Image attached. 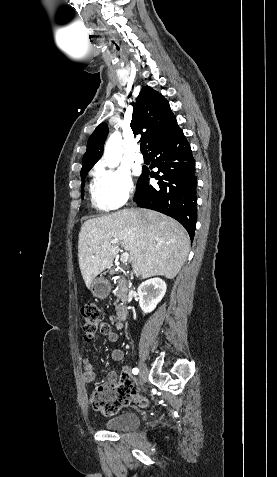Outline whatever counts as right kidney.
I'll list each match as a JSON object with an SVG mask.
<instances>
[{
  "instance_id": "right-kidney-1",
  "label": "right kidney",
  "mask_w": 277,
  "mask_h": 477,
  "mask_svg": "<svg viewBox=\"0 0 277 477\" xmlns=\"http://www.w3.org/2000/svg\"><path fill=\"white\" fill-rule=\"evenodd\" d=\"M166 292V284L160 278H151L138 287L139 304L144 313L152 312L162 300Z\"/></svg>"
}]
</instances>
